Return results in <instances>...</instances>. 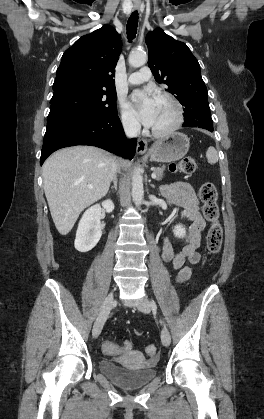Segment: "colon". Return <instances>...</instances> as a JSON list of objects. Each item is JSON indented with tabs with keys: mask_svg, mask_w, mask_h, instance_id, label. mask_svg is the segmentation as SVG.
<instances>
[{
	"mask_svg": "<svg viewBox=\"0 0 264 419\" xmlns=\"http://www.w3.org/2000/svg\"><path fill=\"white\" fill-rule=\"evenodd\" d=\"M197 168V161L192 157H185L177 163L170 165L172 172L182 174H192ZM199 198L202 202V213L205 219L210 223L206 235V247L210 254L216 255L219 253L222 240L223 230L219 222V209L217 205V190L213 183L205 182L199 189ZM106 346H110L112 343H104ZM127 347V346H124ZM146 354L150 358H155L157 355V349L154 345H149L146 348Z\"/></svg>",
	"mask_w": 264,
	"mask_h": 419,
	"instance_id": "5ec220e1",
	"label": "colon"
}]
</instances>
